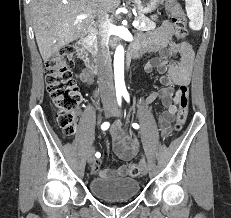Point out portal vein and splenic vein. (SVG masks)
I'll list each match as a JSON object with an SVG mask.
<instances>
[{"label":"portal vein and splenic vein","mask_w":231,"mask_h":218,"mask_svg":"<svg viewBox=\"0 0 231 218\" xmlns=\"http://www.w3.org/2000/svg\"><path fill=\"white\" fill-rule=\"evenodd\" d=\"M86 17H87L86 15L78 16L79 19H84V18H86ZM133 26H134V27L139 26V22H138L137 20L133 21Z\"/></svg>","instance_id":"18ae733b"}]
</instances>
